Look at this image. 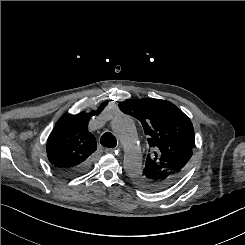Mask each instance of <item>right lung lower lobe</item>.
Returning a JSON list of instances; mask_svg holds the SVG:
<instances>
[{
    "mask_svg": "<svg viewBox=\"0 0 245 245\" xmlns=\"http://www.w3.org/2000/svg\"><path fill=\"white\" fill-rule=\"evenodd\" d=\"M90 166H91V160H88L87 162L72 169H57V170L66 176H77L85 173L90 168Z\"/></svg>",
    "mask_w": 245,
    "mask_h": 245,
    "instance_id": "1",
    "label": "right lung lower lobe"
}]
</instances>
